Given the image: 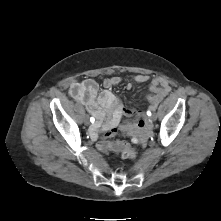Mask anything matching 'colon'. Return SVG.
Masks as SVG:
<instances>
[{"label": "colon", "mask_w": 221, "mask_h": 221, "mask_svg": "<svg viewBox=\"0 0 221 221\" xmlns=\"http://www.w3.org/2000/svg\"><path fill=\"white\" fill-rule=\"evenodd\" d=\"M143 121H134L129 129L130 134L135 142H143L145 140V134L142 130ZM98 149L102 152H114L120 154L123 158L132 159L135 157V149L126 141L117 140L115 142L100 141L98 143Z\"/></svg>", "instance_id": "5ec220e1"}]
</instances>
